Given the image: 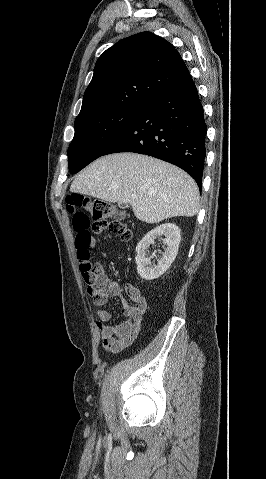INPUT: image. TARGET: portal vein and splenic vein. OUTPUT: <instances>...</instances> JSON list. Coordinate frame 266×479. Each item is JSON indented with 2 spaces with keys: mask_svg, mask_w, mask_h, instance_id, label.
<instances>
[{
  "mask_svg": "<svg viewBox=\"0 0 266 479\" xmlns=\"http://www.w3.org/2000/svg\"><path fill=\"white\" fill-rule=\"evenodd\" d=\"M133 198H136L137 196L136 195H132Z\"/></svg>",
  "mask_w": 266,
  "mask_h": 479,
  "instance_id": "portal-vein-and-splenic-vein-1",
  "label": "portal vein and splenic vein"
}]
</instances>
